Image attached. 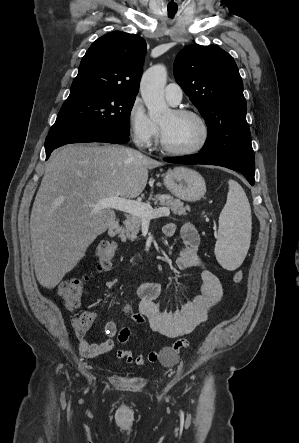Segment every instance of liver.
I'll return each instance as SVG.
<instances>
[{
	"label": "liver",
	"mask_w": 299,
	"mask_h": 443,
	"mask_svg": "<svg viewBox=\"0 0 299 443\" xmlns=\"http://www.w3.org/2000/svg\"><path fill=\"white\" fill-rule=\"evenodd\" d=\"M161 163L137 150L113 145H67L46 164L30 216L35 274L56 287L84 257L89 245L115 222L102 198L132 199L146 187L148 169Z\"/></svg>",
	"instance_id": "obj_1"
}]
</instances>
